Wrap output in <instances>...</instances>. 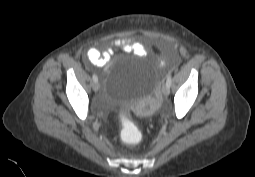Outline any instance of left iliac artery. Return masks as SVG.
<instances>
[{
	"instance_id": "1",
	"label": "left iliac artery",
	"mask_w": 255,
	"mask_h": 177,
	"mask_svg": "<svg viewBox=\"0 0 255 177\" xmlns=\"http://www.w3.org/2000/svg\"><path fill=\"white\" fill-rule=\"evenodd\" d=\"M172 82V76L171 73L168 74L167 80H166V85L170 88Z\"/></svg>"
}]
</instances>
